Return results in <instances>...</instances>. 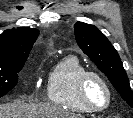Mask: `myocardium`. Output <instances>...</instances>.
<instances>
[{
	"mask_svg": "<svg viewBox=\"0 0 133 118\" xmlns=\"http://www.w3.org/2000/svg\"><path fill=\"white\" fill-rule=\"evenodd\" d=\"M93 78L97 79L104 86L107 93L106 103L102 107L94 106L88 96V83ZM79 96L82 103L90 112L98 113L105 111L111 105L113 93L109 82L104 76L95 71H86L79 80Z\"/></svg>",
	"mask_w": 133,
	"mask_h": 118,
	"instance_id": "1",
	"label": "myocardium"
}]
</instances>
